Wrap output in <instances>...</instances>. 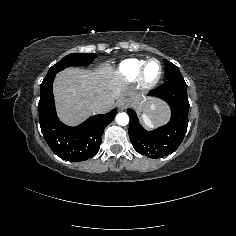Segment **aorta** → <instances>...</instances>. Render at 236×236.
Instances as JSON below:
<instances>
[{
    "mask_svg": "<svg viewBox=\"0 0 236 236\" xmlns=\"http://www.w3.org/2000/svg\"><path fill=\"white\" fill-rule=\"evenodd\" d=\"M116 122L119 125H127L129 122V116L125 112H120L115 116Z\"/></svg>",
    "mask_w": 236,
    "mask_h": 236,
    "instance_id": "762f6f07",
    "label": "aorta"
}]
</instances>
